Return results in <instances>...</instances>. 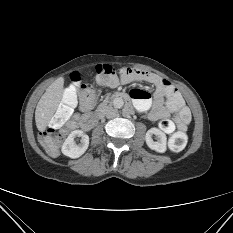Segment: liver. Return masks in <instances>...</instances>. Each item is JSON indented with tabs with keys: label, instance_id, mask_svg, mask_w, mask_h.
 <instances>
[{
	"label": "liver",
	"instance_id": "6515ba94",
	"mask_svg": "<svg viewBox=\"0 0 233 233\" xmlns=\"http://www.w3.org/2000/svg\"><path fill=\"white\" fill-rule=\"evenodd\" d=\"M64 78L56 79L40 98L35 110V122L37 129L45 131L59 103L61 102L64 91Z\"/></svg>",
	"mask_w": 233,
	"mask_h": 233
}]
</instances>
